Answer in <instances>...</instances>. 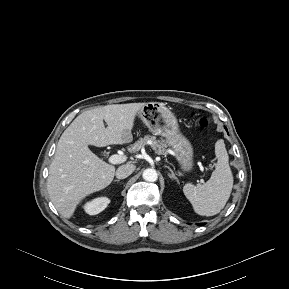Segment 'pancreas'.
<instances>
[{
	"instance_id": "obj_1",
	"label": "pancreas",
	"mask_w": 289,
	"mask_h": 289,
	"mask_svg": "<svg viewBox=\"0 0 289 289\" xmlns=\"http://www.w3.org/2000/svg\"><path fill=\"white\" fill-rule=\"evenodd\" d=\"M150 144L153 150L158 155H165L167 156L168 152L166 150L167 143L164 142V140H156L155 136H144L143 138L136 141L134 144H132L128 150L132 153H137L140 149L145 147L146 145Z\"/></svg>"
}]
</instances>
